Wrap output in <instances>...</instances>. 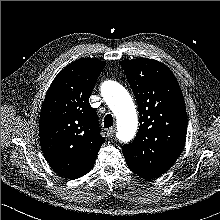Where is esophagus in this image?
I'll return each instance as SVG.
<instances>
[{"instance_id": "obj_1", "label": "esophagus", "mask_w": 220, "mask_h": 220, "mask_svg": "<svg viewBox=\"0 0 220 220\" xmlns=\"http://www.w3.org/2000/svg\"><path fill=\"white\" fill-rule=\"evenodd\" d=\"M115 132H116V128H113V127H112V128H110V129H108V130H107V133H106V134H107V137H108V138H112V137L115 135Z\"/></svg>"}]
</instances>
